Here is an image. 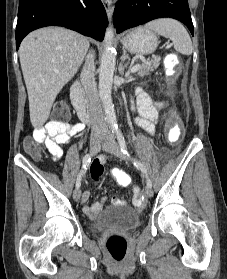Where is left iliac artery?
<instances>
[{
	"mask_svg": "<svg viewBox=\"0 0 227 279\" xmlns=\"http://www.w3.org/2000/svg\"><path fill=\"white\" fill-rule=\"evenodd\" d=\"M116 136H117V140H118V142H119L121 151H122L124 154L129 155V154H128V151H127V143H126L125 138H124V136H123V134H122V132H121L120 129H117V130H116ZM134 165H135L137 168H139V169L145 174V176H146V181H147V186L152 187V182H151L150 178L148 177L147 171H146L145 167L141 164V162L138 161V160H136V159H134Z\"/></svg>",
	"mask_w": 227,
	"mask_h": 279,
	"instance_id": "44dca946",
	"label": "left iliac artery"
}]
</instances>
